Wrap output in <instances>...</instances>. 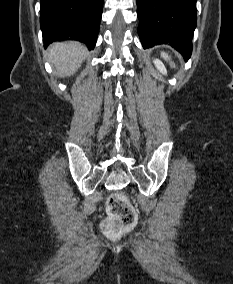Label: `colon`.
Instances as JSON below:
<instances>
[{
    "mask_svg": "<svg viewBox=\"0 0 233 284\" xmlns=\"http://www.w3.org/2000/svg\"><path fill=\"white\" fill-rule=\"evenodd\" d=\"M164 57L173 64L171 58L165 54ZM107 213L106 218L102 224V228L106 233L115 234L119 231L129 229L137 220V215L129 203L125 195L121 193H114L109 196L107 200Z\"/></svg>",
    "mask_w": 233,
    "mask_h": 284,
    "instance_id": "obj_1",
    "label": "colon"
}]
</instances>
